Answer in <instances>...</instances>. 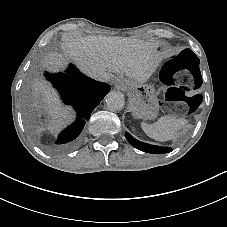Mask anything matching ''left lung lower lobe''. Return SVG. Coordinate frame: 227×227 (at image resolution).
<instances>
[{
    "mask_svg": "<svg viewBox=\"0 0 227 227\" xmlns=\"http://www.w3.org/2000/svg\"><path fill=\"white\" fill-rule=\"evenodd\" d=\"M125 136L133 147H135L141 151L147 152V153L164 154V153H168V152L172 151V149L170 147H161V146H155V145L142 143V142L136 140L135 138H133L129 133H126Z\"/></svg>",
    "mask_w": 227,
    "mask_h": 227,
    "instance_id": "0a47b994",
    "label": "left lung lower lobe"
}]
</instances>
